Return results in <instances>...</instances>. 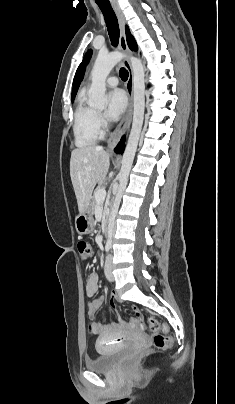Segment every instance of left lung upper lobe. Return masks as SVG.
I'll list each match as a JSON object with an SVG mask.
<instances>
[{"instance_id":"1","label":"left lung upper lobe","mask_w":235,"mask_h":404,"mask_svg":"<svg viewBox=\"0 0 235 404\" xmlns=\"http://www.w3.org/2000/svg\"><path fill=\"white\" fill-rule=\"evenodd\" d=\"M133 45H134V49L137 50V49H138V48H137V44H136V42H135L134 39H133ZM91 55H92V50H89V51L86 53V55H85V57H84L82 63H81L80 66L78 67L77 72H76V75L78 74V72L80 71V69H81L85 64L88 63V61H89Z\"/></svg>"}]
</instances>
